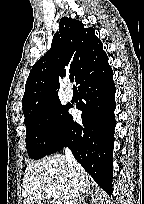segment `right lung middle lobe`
Segmentation results:
<instances>
[{
  "instance_id": "1",
  "label": "right lung middle lobe",
  "mask_w": 144,
  "mask_h": 204,
  "mask_svg": "<svg viewBox=\"0 0 144 204\" xmlns=\"http://www.w3.org/2000/svg\"><path fill=\"white\" fill-rule=\"evenodd\" d=\"M68 109L55 99L25 117L26 146L31 159L49 154L61 135Z\"/></svg>"
}]
</instances>
